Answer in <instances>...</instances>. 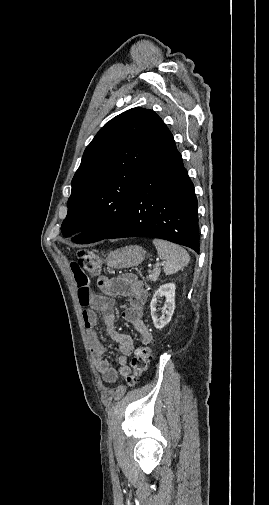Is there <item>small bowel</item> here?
I'll use <instances>...</instances> for the list:
<instances>
[{"label": "small bowel", "mask_w": 269, "mask_h": 505, "mask_svg": "<svg viewBox=\"0 0 269 505\" xmlns=\"http://www.w3.org/2000/svg\"><path fill=\"white\" fill-rule=\"evenodd\" d=\"M70 268L75 273V281L78 287V298L80 304L88 307L83 311V321L86 330L87 340L93 356L96 369L101 374L102 379L107 383H114L119 376H125L129 371L128 358L134 349V341L128 334H123L115 329L114 297L121 296L127 298L129 305L123 311L122 316L133 329L140 335L141 342L150 344L153 335L143 320V308L147 299V289L145 285L138 281L133 274H124L116 278L101 277L97 274L98 287L103 295H93L90 292L89 280H93L92 274H87L84 268H80L78 260L70 261ZM96 311L101 312L102 321L109 336L118 344L120 355L118 366H112L104 355L108 348L100 341L97 331Z\"/></svg>", "instance_id": "obj_1"}]
</instances>
